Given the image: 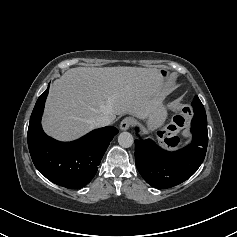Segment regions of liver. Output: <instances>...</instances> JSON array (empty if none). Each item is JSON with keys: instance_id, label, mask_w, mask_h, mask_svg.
<instances>
[{"instance_id": "liver-1", "label": "liver", "mask_w": 237, "mask_h": 237, "mask_svg": "<svg viewBox=\"0 0 237 237\" xmlns=\"http://www.w3.org/2000/svg\"><path fill=\"white\" fill-rule=\"evenodd\" d=\"M165 86L155 68L69 69L50 87L43 129L57 140L70 141L93 130V120L101 115L144 119L160 103Z\"/></svg>"}]
</instances>
